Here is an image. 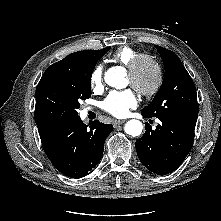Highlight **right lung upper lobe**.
Returning a JSON list of instances; mask_svg holds the SVG:
<instances>
[{"instance_id":"obj_1","label":"right lung upper lobe","mask_w":221,"mask_h":221,"mask_svg":"<svg viewBox=\"0 0 221 221\" xmlns=\"http://www.w3.org/2000/svg\"><path fill=\"white\" fill-rule=\"evenodd\" d=\"M110 48H104L102 50H87V51H78L75 53H72L65 57L64 59L52 64L44 74H47L52 71L56 70H63V69H70L72 67H75L81 63H83L85 60L90 59L98 54L107 53Z\"/></svg>"}]
</instances>
